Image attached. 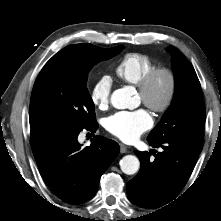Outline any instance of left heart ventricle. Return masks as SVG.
I'll return each instance as SVG.
<instances>
[{"label":"left heart ventricle","instance_id":"obj_1","mask_svg":"<svg viewBox=\"0 0 221 221\" xmlns=\"http://www.w3.org/2000/svg\"><path fill=\"white\" fill-rule=\"evenodd\" d=\"M166 91H167V79L164 76H161L156 80L155 84L152 87L150 94L151 99L155 103H160L164 99Z\"/></svg>","mask_w":221,"mask_h":221}]
</instances>
